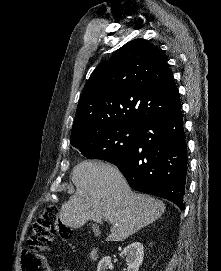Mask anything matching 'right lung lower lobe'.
<instances>
[{
  "instance_id": "obj_1",
  "label": "right lung lower lobe",
  "mask_w": 221,
  "mask_h": 271,
  "mask_svg": "<svg viewBox=\"0 0 221 271\" xmlns=\"http://www.w3.org/2000/svg\"><path fill=\"white\" fill-rule=\"evenodd\" d=\"M113 164L134 190L166 198L184 210L187 146L181 105L146 120L135 145Z\"/></svg>"
}]
</instances>
